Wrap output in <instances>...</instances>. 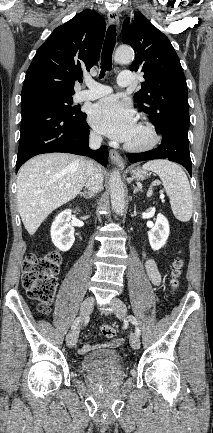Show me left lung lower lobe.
<instances>
[{"label":"left lung lower lobe","instance_id":"obj_1","mask_svg":"<svg viewBox=\"0 0 213 433\" xmlns=\"http://www.w3.org/2000/svg\"><path fill=\"white\" fill-rule=\"evenodd\" d=\"M161 133L163 137L159 147L143 153L128 154L129 162L168 159L183 165L191 175L188 132L178 127H165L161 130Z\"/></svg>","mask_w":213,"mask_h":433}]
</instances>
